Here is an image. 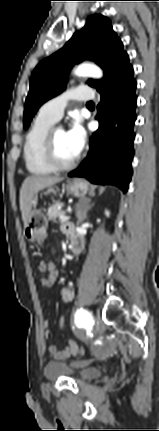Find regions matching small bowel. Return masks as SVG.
<instances>
[{"instance_id": "small-bowel-1", "label": "small bowel", "mask_w": 159, "mask_h": 431, "mask_svg": "<svg viewBox=\"0 0 159 431\" xmlns=\"http://www.w3.org/2000/svg\"><path fill=\"white\" fill-rule=\"evenodd\" d=\"M72 230L71 226H65L64 231L69 234V232ZM39 272L41 273V284L44 287H51L52 285L49 283V278L51 276H54L56 279L59 275V269L56 266L55 272L52 273V275H49L48 272V266L46 261H42L39 264ZM73 293H74V286L72 283H69L66 287H64L61 290V299L63 303H69L73 299ZM42 327L45 330V336H49V322L48 320L42 321ZM47 351L49 355L54 358L55 360H65L68 359L71 356L77 355L79 353V345L73 341L70 340L67 344V346L61 350H58L55 345H49L47 348Z\"/></svg>"}]
</instances>
